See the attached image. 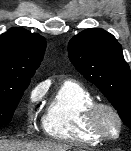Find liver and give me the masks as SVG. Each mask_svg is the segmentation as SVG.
<instances>
[{
	"instance_id": "1",
	"label": "liver",
	"mask_w": 131,
	"mask_h": 151,
	"mask_svg": "<svg viewBox=\"0 0 131 151\" xmlns=\"http://www.w3.org/2000/svg\"><path fill=\"white\" fill-rule=\"evenodd\" d=\"M67 144L55 142H11L0 140V151H69Z\"/></svg>"
}]
</instances>
